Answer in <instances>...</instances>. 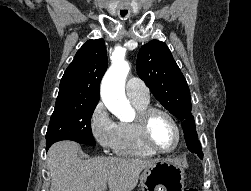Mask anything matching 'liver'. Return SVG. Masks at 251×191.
<instances>
[{
	"instance_id": "1",
	"label": "liver",
	"mask_w": 251,
	"mask_h": 191,
	"mask_svg": "<svg viewBox=\"0 0 251 191\" xmlns=\"http://www.w3.org/2000/svg\"><path fill=\"white\" fill-rule=\"evenodd\" d=\"M84 155L76 141H56L48 149L50 191H97L108 185L109 191H131L138 183L142 169L152 165L151 159L133 157H91Z\"/></svg>"
}]
</instances>
